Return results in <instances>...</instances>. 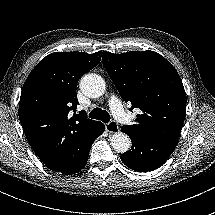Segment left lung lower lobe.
Returning a JSON list of instances; mask_svg holds the SVG:
<instances>
[{
    "mask_svg": "<svg viewBox=\"0 0 215 215\" xmlns=\"http://www.w3.org/2000/svg\"><path fill=\"white\" fill-rule=\"evenodd\" d=\"M122 132H124L121 129ZM126 133L132 141V148L121 155L122 162L138 172L152 171L170 157L178 139L145 138Z\"/></svg>",
    "mask_w": 215,
    "mask_h": 215,
    "instance_id": "obj_1",
    "label": "left lung lower lobe"
}]
</instances>
